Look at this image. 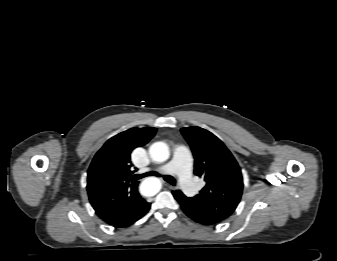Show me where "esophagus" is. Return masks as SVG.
<instances>
[{
  "instance_id": "1",
  "label": "esophagus",
  "mask_w": 337,
  "mask_h": 261,
  "mask_svg": "<svg viewBox=\"0 0 337 261\" xmlns=\"http://www.w3.org/2000/svg\"><path fill=\"white\" fill-rule=\"evenodd\" d=\"M167 186H168V188H170V189H175V187L172 186V185L167 184Z\"/></svg>"
}]
</instances>
